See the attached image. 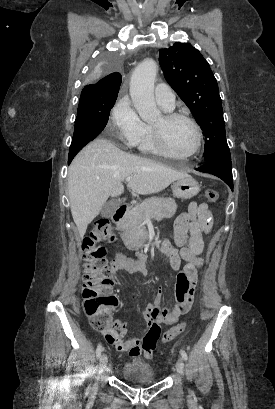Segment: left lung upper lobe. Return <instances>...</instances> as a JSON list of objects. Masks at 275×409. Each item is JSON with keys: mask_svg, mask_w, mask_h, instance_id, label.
Masks as SVG:
<instances>
[{"mask_svg": "<svg viewBox=\"0 0 275 409\" xmlns=\"http://www.w3.org/2000/svg\"><path fill=\"white\" fill-rule=\"evenodd\" d=\"M159 61L169 85L191 110L206 137L205 161L231 160L217 81L208 62L191 44L161 49Z\"/></svg>", "mask_w": 275, "mask_h": 409, "instance_id": "1", "label": "left lung upper lobe"}]
</instances>
